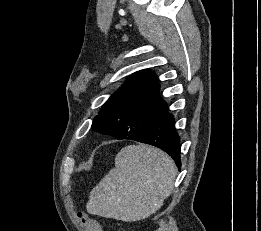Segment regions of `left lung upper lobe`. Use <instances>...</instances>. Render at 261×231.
<instances>
[{
    "instance_id": "1",
    "label": "left lung upper lobe",
    "mask_w": 261,
    "mask_h": 231,
    "mask_svg": "<svg viewBox=\"0 0 261 231\" xmlns=\"http://www.w3.org/2000/svg\"><path fill=\"white\" fill-rule=\"evenodd\" d=\"M166 108L156 75L141 70L104 103L91 127L117 139L140 137Z\"/></svg>"
}]
</instances>
